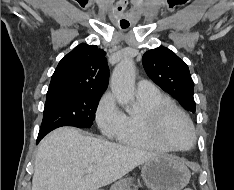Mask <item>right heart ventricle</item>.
<instances>
[{
    "instance_id": "1",
    "label": "right heart ventricle",
    "mask_w": 234,
    "mask_h": 190,
    "mask_svg": "<svg viewBox=\"0 0 234 190\" xmlns=\"http://www.w3.org/2000/svg\"><path fill=\"white\" fill-rule=\"evenodd\" d=\"M137 102L139 110L136 113L123 115L121 127L116 134L117 140L127 146L140 149L169 150L153 136L150 129L149 113L159 104L172 103L170 98L157 90L150 94H137Z\"/></svg>"
}]
</instances>
